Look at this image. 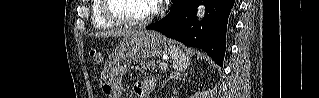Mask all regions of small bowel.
<instances>
[{
  "instance_id": "c3829d8e",
  "label": "small bowel",
  "mask_w": 319,
  "mask_h": 98,
  "mask_svg": "<svg viewBox=\"0 0 319 98\" xmlns=\"http://www.w3.org/2000/svg\"><path fill=\"white\" fill-rule=\"evenodd\" d=\"M155 80L153 77H146L142 81H138L134 84V92L137 97L145 98L147 93L154 87Z\"/></svg>"
}]
</instances>
